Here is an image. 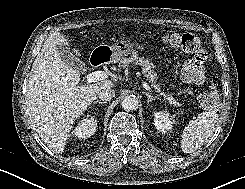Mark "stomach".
Masks as SVG:
<instances>
[{"label": "stomach", "instance_id": "1", "mask_svg": "<svg viewBox=\"0 0 245 189\" xmlns=\"http://www.w3.org/2000/svg\"><path fill=\"white\" fill-rule=\"evenodd\" d=\"M137 49L136 45L127 40H119L112 46L101 45L97 47V50L109 51V57L112 61H119L120 58L135 54L137 53Z\"/></svg>", "mask_w": 245, "mask_h": 189}]
</instances>
